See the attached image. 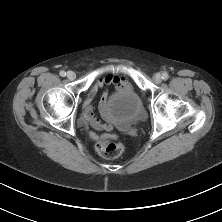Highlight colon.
<instances>
[{
	"mask_svg": "<svg viewBox=\"0 0 222 222\" xmlns=\"http://www.w3.org/2000/svg\"><path fill=\"white\" fill-rule=\"evenodd\" d=\"M97 151L105 158L114 159L124 153V147L108 139L100 140L96 145Z\"/></svg>",
	"mask_w": 222,
	"mask_h": 222,
	"instance_id": "obj_1",
	"label": "colon"
}]
</instances>
